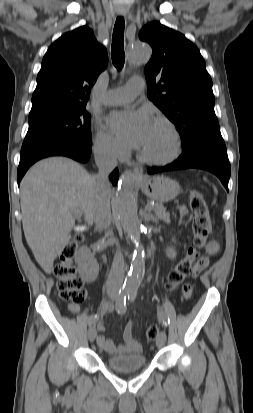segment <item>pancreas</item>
Wrapping results in <instances>:
<instances>
[{"mask_svg": "<svg viewBox=\"0 0 253 413\" xmlns=\"http://www.w3.org/2000/svg\"><path fill=\"white\" fill-rule=\"evenodd\" d=\"M154 211L158 219L164 220L167 223L170 222V214L162 204H155Z\"/></svg>", "mask_w": 253, "mask_h": 413, "instance_id": "1", "label": "pancreas"}]
</instances>
